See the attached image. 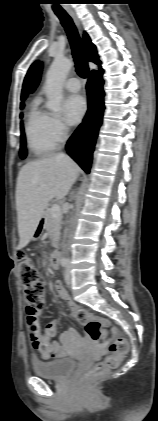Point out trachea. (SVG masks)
I'll return each instance as SVG.
<instances>
[{
  "label": "trachea",
  "instance_id": "1",
  "mask_svg": "<svg viewBox=\"0 0 158 421\" xmlns=\"http://www.w3.org/2000/svg\"><path fill=\"white\" fill-rule=\"evenodd\" d=\"M56 15L67 33L75 61L76 72L80 77L87 78L89 73L88 62L80 42L77 28L67 13H56Z\"/></svg>",
  "mask_w": 158,
  "mask_h": 421
}]
</instances>
